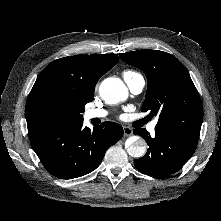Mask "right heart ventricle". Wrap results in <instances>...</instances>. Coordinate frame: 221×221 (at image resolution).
<instances>
[{
    "mask_svg": "<svg viewBox=\"0 0 221 221\" xmlns=\"http://www.w3.org/2000/svg\"><path fill=\"white\" fill-rule=\"evenodd\" d=\"M137 73H135V72H133V71H125L124 73H123V76H124V78H126V77H132V76H134V75H136Z\"/></svg>",
    "mask_w": 221,
    "mask_h": 221,
    "instance_id": "right-heart-ventricle-1",
    "label": "right heart ventricle"
}]
</instances>
